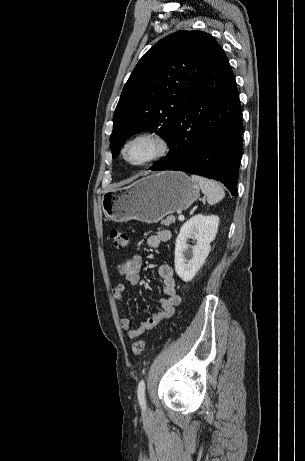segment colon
Segmentation results:
<instances>
[{"instance_id":"obj_1","label":"colon","mask_w":305,"mask_h":461,"mask_svg":"<svg viewBox=\"0 0 305 461\" xmlns=\"http://www.w3.org/2000/svg\"><path fill=\"white\" fill-rule=\"evenodd\" d=\"M110 238L118 250H124L129 242V237L126 233L118 230H111L110 231ZM145 341L137 340L132 344V352L134 355L139 356L144 352L145 349Z\"/></svg>"}]
</instances>
